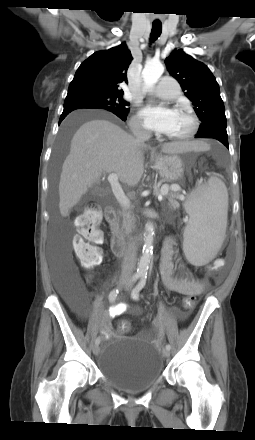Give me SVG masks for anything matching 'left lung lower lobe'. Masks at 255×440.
I'll return each instance as SVG.
<instances>
[{
  "mask_svg": "<svg viewBox=\"0 0 255 440\" xmlns=\"http://www.w3.org/2000/svg\"><path fill=\"white\" fill-rule=\"evenodd\" d=\"M195 137L196 138H213V139L220 141L228 148V137H221V136H217V135H207V136L196 135Z\"/></svg>",
  "mask_w": 255,
  "mask_h": 440,
  "instance_id": "obj_1",
  "label": "left lung lower lobe"
}]
</instances>
